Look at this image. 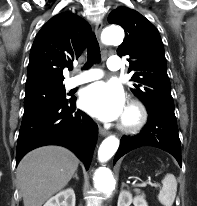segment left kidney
Listing matches in <instances>:
<instances>
[{
  "instance_id": "5707ae66",
  "label": "left kidney",
  "mask_w": 197,
  "mask_h": 206,
  "mask_svg": "<svg viewBox=\"0 0 197 206\" xmlns=\"http://www.w3.org/2000/svg\"><path fill=\"white\" fill-rule=\"evenodd\" d=\"M131 203H133L134 206H148L146 200L142 196L133 198L129 191L122 190L118 197L117 206H130Z\"/></svg>"
}]
</instances>
